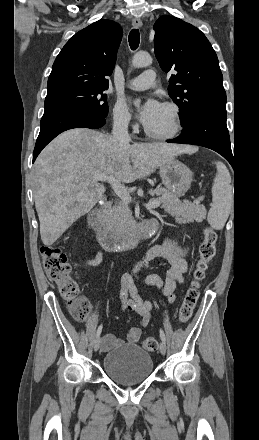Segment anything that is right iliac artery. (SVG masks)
Returning a JSON list of instances; mask_svg holds the SVG:
<instances>
[{
  "mask_svg": "<svg viewBox=\"0 0 259 440\" xmlns=\"http://www.w3.org/2000/svg\"><path fill=\"white\" fill-rule=\"evenodd\" d=\"M102 324L98 327L97 332H96V337H99L101 332H102Z\"/></svg>",
  "mask_w": 259,
  "mask_h": 440,
  "instance_id": "82829eb1",
  "label": "right iliac artery"
}]
</instances>
